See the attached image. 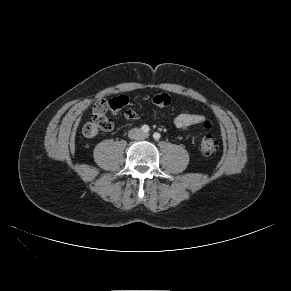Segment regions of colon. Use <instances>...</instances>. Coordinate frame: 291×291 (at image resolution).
<instances>
[{
  "mask_svg": "<svg viewBox=\"0 0 291 291\" xmlns=\"http://www.w3.org/2000/svg\"><path fill=\"white\" fill-rule=\"evenodd\" d=\"M129 103H140L148 105H156L158 107H166L171 103V98L165 93L147 94L141 98H130L127 94H121L109 101L110 108L114 113H119ZM206 129L210 128V123H205ZM113 128L112 121L106 116V113H96L92 116V120L86 123L83 127V134L87 138L96 137L101 131H110ZM219 144L216 138L210 134L205 133L202 137L199 149L202 154L210 156L218 150Z\"/></svg>",
  "mask_w": 291,
  "mask_h": 291,
  "instance_id": "obj_1",
  "label": "colon"
}]
</instances>
